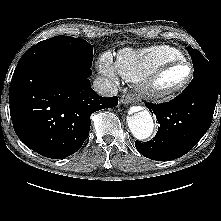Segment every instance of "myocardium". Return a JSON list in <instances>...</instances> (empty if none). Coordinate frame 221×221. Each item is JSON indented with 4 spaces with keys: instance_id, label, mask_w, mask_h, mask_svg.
I'll return each mask as SVG.
<instances>
[{
    "instance_id": "obj_1",
    "label": "myocardium",
    "mask_w": 221,
    "mask_h": 221,
    "mask_svg": "<svg viewBox=\"0 0 221 221\" xmlns=\"http://www.w3.org/2000/svg\"><path fill=\"white\" fill-rule=\"evenodd\" d=\"M182 65L187 66L189 68V75L187 79L181 84L174 87H162L160 85V79L162 78V76L168 71L172 70L173 68ZM193 77L194 68L190 62H188L187 60L173 61L159 67L151 75L143 79L139 86V91L147 100L154 102L164 101L179 94L184 89H186L192 82Z\"/></svg>"
}]
</instances>
